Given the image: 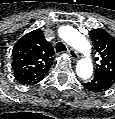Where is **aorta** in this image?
Returning <instances> with one entry per match:
<instances>
[{
	"label": "aorta",
	"mask_w": 115,
	"mask_h": 119,
	"mask_svg": "<svg viewBox=\"0 0 115 119\" xmlns=\"http://www.w3.org/2000/svg\"><path fill=\"white\" fill-rule=\"evenodd\" d=\"M60 37L71 47L81 52L85 58L78 61L76 72L82 79H89L93 72L92 60L90 58L91 45L84 35L72 27H66L60 33Z\"/></svg>",
	"instance_id": "762f6f07"
}]
</instances>
